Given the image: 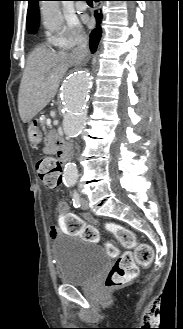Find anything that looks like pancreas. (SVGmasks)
Instances as JSON below:
<instances>
[{"instance_id":"1","label":"pancreas","mask_w":183,"mask_h":329,"mask_svg":"<svg viewBox=\"0 0 183 329\" xmlns=\"http://www.w3.org/2000/svg\"><path fill=\"white\" fill-rule=\"evenodd\" d=\"M40 125L42 126V129L44 132H47V127H46V118L43 117L41 120H40Z\"/></svg>"}]
</instances>
